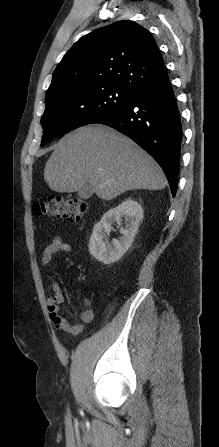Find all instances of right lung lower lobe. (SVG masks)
Instances as JSON below:
<instances>
[{
  "instance_id": "98d812e1",
  "label": "right lung lower lobe",
  "mask_w": 219,
  "mask_h": 447,
  "mask_svg": "<svg viewBox=\"0 0 219 447\" xmlns=\"http://www.w3.org/2000/svg\"><path fill=\"white\" fill-rule=\"evenodd\" d=\"M93 123L116 129L147 151L163 169L175 196L183 129L177 99L168 77L135 94L129 103Z\"/></svg>"
}]
</instances>
